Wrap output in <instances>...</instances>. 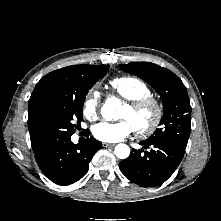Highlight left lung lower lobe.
I'll return each instance as SVG.
<instances>
[{"instance_id":"obj_1","label":"left lung lower lobe","mask_w":221,"mask_h":221,"mask_svg":"<svg viewBox=\"0 0 221 221\" xmlns=\"http://www.w3.org/2000/svg\"><path fill=\"white\" fill-rule=\"evenodd\" d=\"M147 149H133L130 156L119 163L121 172L142 187H154L164 183L180 164L185 150L166 142L144 140Z\"/></svg>"}]
</instances>
